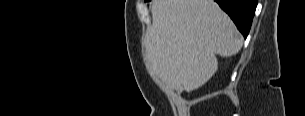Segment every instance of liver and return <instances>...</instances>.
I'll use <instances>...</instances> for the list:
<instances>
[{"instance_id": "1", "label": "liver", "mask_w": 305, "mask_h": 116, "mask_svg": "<svg viewBox=\"0 0 305 116\" xmlns=\"http://www.w3.org/2000/svg\"><path fill=\"white\" fill-rule=\"evenodd\" d=\"M151 13L147 69L174 88L198 89L217 71L216 55L229 57L242 47L234 23L213 0H154Z\"/></svg>"}]
</instances>
